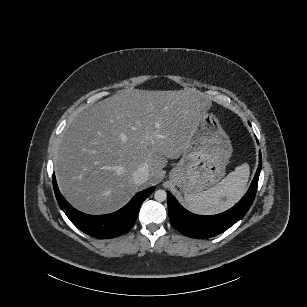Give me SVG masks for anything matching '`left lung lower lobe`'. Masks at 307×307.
Instances as JSON below:
<instances>
[{"mask_svg":"<svg viewBox=\"0 0 307 307\" xmlns=\"http://www.w3.org/2000/svg\"><path fill=\"white\" fill-rule=\"evenodd\" d=\"M261 167L262 158L259 152L257 172L247 193L234 207L218 215L193 214L185 210L170 193H167L168 213L172 226L192 238L204 239L224 232L240 220L251 207L256 195Z\"/></svg>","mask_w":307,"mask_h":307,"instance_id":"1","label":"left lung lower lobe"}]
</instances>
